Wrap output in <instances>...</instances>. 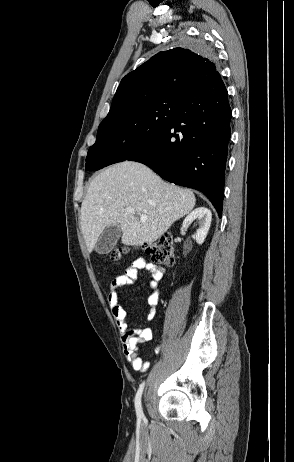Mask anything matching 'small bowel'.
<instances>
[{
  "label": "small bowel",
  "instance_id": "1",
  "mask_svg": "<svg viewBox=\"0 0 294 462\" xmlns=\"http://www.w3.org/2000/svg\"><path fill=\"white\" fill-rule=\"evenodd\" d=\"M140 271L150 273V279L148 281V287L151 291L148 297L150 309L147 314V319L153 320L157 313L160 297L159 282L165 275V269L144 258H137L134 260L123 274L116 276L111 281L107 299L121 334V344L127 361L134 370L144 372L149 368L150 362L140 357L138 345L150 341L153 337L152 331L149 328L128 327L127 312L121 305L118 295V290L121 287L131 285L137 280ZM159 350L160 346L156 348V352Z\"/></svg>",
  "mask_w": 294,
  "mask_h": 462
}]
</instances>
